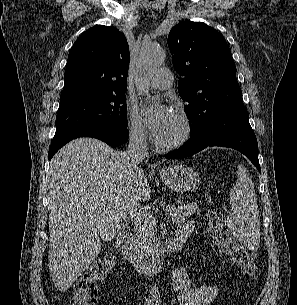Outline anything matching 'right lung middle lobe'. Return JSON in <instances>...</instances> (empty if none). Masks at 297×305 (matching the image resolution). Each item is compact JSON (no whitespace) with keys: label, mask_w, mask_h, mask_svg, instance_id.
I'll return each mask as SVG.
<instances>
[{"label":"right lung middle lobe","mask_w":297,"mask_h":305,"mask_svg":"<svg viewBox=\"0 0 297 305\" xmlns=\"http://www.w3.org/2000/svg\"><path fill=\"white\" fill-rule=\"evenodd\" d=\"M125 92L89 93L60 99L51 146H57L70 136L91 128H126Z\"/></svg>","instance_id":"1"}]
</instances>
